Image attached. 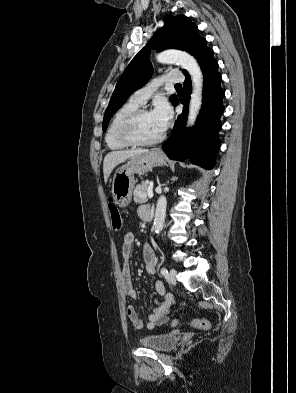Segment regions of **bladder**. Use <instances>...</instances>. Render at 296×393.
Returning a JSON list of instances; mask_svg holds the SVG:
<instances>
[{"label": "bladder", "instance_id": "obj_1", "mask_svg": "<svg viewBox=\"0 0 296 393\" xmlns=\"http://www.w3.org/2000/svg\"><path fill=\"white\" fill-rule=\"evenodd\" d=\"M139 343L143 347L158 352H168L177 345L178 336L175 334L149 335L141 338Z\"/></svg>", "mask_w": 296, "mask_h": 393}]
</instances>
